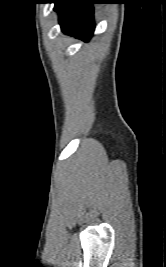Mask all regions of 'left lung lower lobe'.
<instances>
[{
	"label": "left lung lower lobe",
	"instance_id": "1",
	"mask_svg": "<svg viewBox=\"0 0 166 267\" xmlns=\"http://www.w3.org/2000/svg\"><path fill=\"white\" fill-rule=\"evenodd\" d=\"M54 3L62 31L87 42L94 32L92 1L55 0Z\"/></svg>",
	"mask_w": 166,
	"mask_h": 267
}]
</instances>
